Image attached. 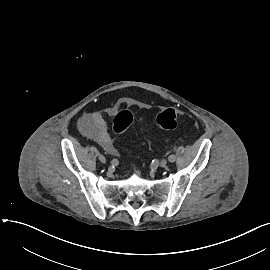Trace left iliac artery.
Here are the masks:
<instances>
[{
	"label": "left iliac artery",
	"mask_w": 270,
	"mask_h": 270,
	"mask_svg": "<svg viewBox=\"0 0 270 270\" xmlns=\"http://www.w3.org/2000/svg\"><path fill=\"white\" fill-rule=\"evenodd\" d=\"M168 160H169V162H175L176 156L172 154V155H170V156L168 157Z\"/></svg>",
	"instance_id": "1"
}]
</instances>
